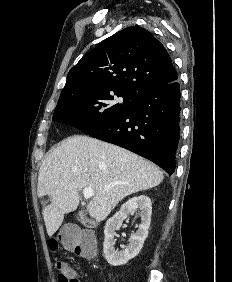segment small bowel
I'll return each mask as SVG.
<instances>
[{
    "label": "small bowel",
    "instance_id": "small-bowel-1",
    "mask_svg": "<svg viewBox=\"0 0 232 282\" xmlns=\"http://www.w3.org/2000/svg\"><path fill=\"white\" fill-rule=\"evenodd\" d=\"M72 274H73V275H75V276L77 277V273H76V271H75V270H73V269H72ZM79 282H83V281H81V280L79 279Z\"/></svg>",
    "mask_w": 232,
    "mask_h": 282
}]
</instances>
